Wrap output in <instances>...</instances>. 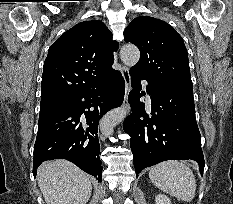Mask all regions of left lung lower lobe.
Wrapping results in <instances>:
<instances>
[{
  "instance_id": "left-lung-lower-lobe-1",
  "label": "left lung lower lobe",
  "mask_w": 233,
  "mask_h": 204,
  "mask_svg": "<svg viewBox=\"0 0 233 204\" xmlns=\"http://www.w3.org/2000/svg\"><path fill=\"white\" fill-rule=\"evenodd\" d=\"M130 75L133 89L128 101L132 114L125 119L123 128L131 136L136 173L165 160L192 159L197 161L203 175L205 163L193 92L159 86L131 72ZM143 79L148 82L147 92L151 96L150 115L145 111V104L140 102L145 95L140 84Z\"/></svg>"
}]
</instances>
